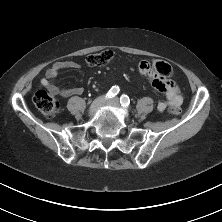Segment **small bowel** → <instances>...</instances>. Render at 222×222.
Wrapping results in <instances>:
<instances>
[{
	"label": "small bowel",
	"mask_w": 222,
	"mask_h": 222,
	"mask_svg": "<svg viewBox=\"0 0 222 222\" xmlns=\"http://www.w3.org/2000/svg\"><path fill=\"white\" fill-rule=\"evenodd\" d=\"M80 64L76 61L66 60L57 61L52 64L45 72V77L41 80V85L51 94L68 97L72 95H80L83 92L81 87H61L54 83L59 72L64 69H80ZM139 73L145 80H148L154 88L165 94V99L160 100L157 109L160 112L165 111L168 107L179 108L183 102V97L178 86L171 80H166L164 76L151 70V65L143 61L138 66Z\"/></svg>",
	"instance_id": "small-bowel-1"
}]
</instances>
